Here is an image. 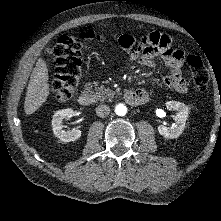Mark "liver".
Segmentation results:
<instances>
[{"label": "liver", "instance_id": "1", "mask_svg": "<svg viewBox=\"0 0 221 221\" xmlns=\"http://www.w3.org/2000/svg\"><path fill=\"white\" fill-rule=\"evenodd\" d=\"M49 75L47 64L44 59L39 58L30 76L24 103L26 115L37 111L47 100L49 95Z\"/></svg>", "mask_w": 221, "mask_h": 221}]
</instances>
